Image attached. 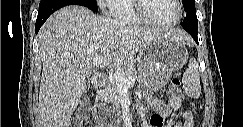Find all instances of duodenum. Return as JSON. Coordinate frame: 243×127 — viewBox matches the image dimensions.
<instances>
[{
  "mask_svg": "<svg viewBox=\"0 0 243 127\" xmlns=\"http://www.w3.org/2000/svg\"><path fill=\"white\" fill-rule=\"evenodd\" d=\"M94 83L96 89H102L107 84V77L104 74H97L95 75Z\"/></svg>",
  "mask_w": 243,
  "mask_h": 127,
  "instance_id": "1",
  "label": "duodenum"
}]
</instances>
